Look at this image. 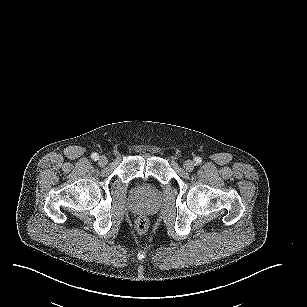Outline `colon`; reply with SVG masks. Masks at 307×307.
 I'll use <instances>...</instances> for the list:
<instances>
[{"label":"colon","instance_id":"colon-1","mask_svg":"<svg viewBox=\"0 0 307 307\" xmlns=\"http://www.w3.org/2000/svg\"><path fill=\"white\" fill-rule=\"evenodd\" d=\"M149 227V220L145 216H141L136 221V228L139 232H145Z\"/></svg>","mask_w":307,"mask_h":307}]
</instances>
